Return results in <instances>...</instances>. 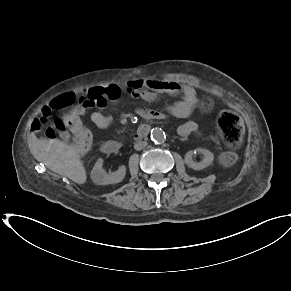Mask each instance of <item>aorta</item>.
<instances>
[{
    "mask_svg": "<svg viewBox=\"0 0 291 291\" xmlns=\"http://www.w3.org/2000/svg\"><path fill=\"white\" fill-rule=\"evenodd\" d=\"M165 132L161 128H153L151 130V139L154 143L160 144L165 141Z\"/></svg>",
    "mask_w": 291,
    "mask_h": 291,
    "instance_id": "obj_1",
    "label": "aorta"
}]
</instances>
